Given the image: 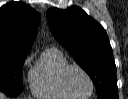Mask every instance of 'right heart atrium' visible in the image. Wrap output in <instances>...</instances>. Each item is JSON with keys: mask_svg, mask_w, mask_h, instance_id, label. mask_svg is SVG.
Instances as JSON below:
<instances>
[{"mask_svg": "<svg viewBox=\"0 0 128 99\" xmlns=\"http://www.w3.org/2000/svg\"><path fill=\"white\" fill-rule=\"evenodd\" d=\"M32 59V55L28 56L24 61V67L28 66L30 64V61Z\"/></svg>", "mask_w": 128, "mask_h": 99, "instance_id": "1", "label": "right heart atrium"}]
</instances>
